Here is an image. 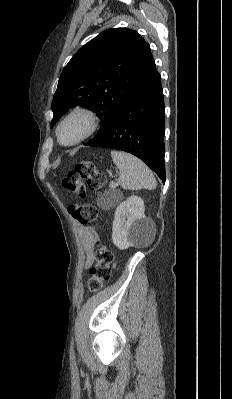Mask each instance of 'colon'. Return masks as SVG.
<instances>
[{"label":"colon","mask_w":232,"mask_h":399,"mask_svg":"<svg viewBox=\"0 0 232 399\" xmlns=\"http://www.w3.org/2000/svg\"><path fill=\"white\" fill-rule=\"evenodd\" d=\"M93 165H97V160H81V163H75V168L80 170H73V175H65V180H62V185L68 186L72 196L81 200V203L67 204L71 218H77V222H91V218H96L98 214V209L91 207V203H86V186H91V182H94V186L101 190L106 182V187H111V173H106L105 177V171L94 170ZM102 231H107L106 223L102 224ZM113 266L114 253H111V248L103 249L102 239H97L94 263H90L89 269L92 280H86V287L90 291L102 290L103 286H107L108 276H113Z\"/></svg>","instance_id":"5ec220e1"}]
</instances>
